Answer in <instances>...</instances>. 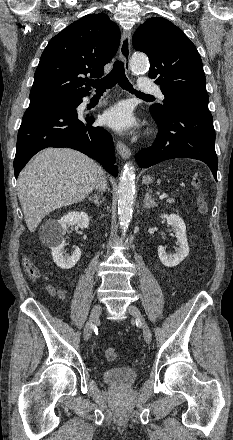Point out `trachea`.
<instances>
[{"label":"trachea","mask_w":233,"mask_h":440,"mask_svg":"<svg viewBox=\"0 0 233 440\" xmlns=\"http://www.w3.org/2000/svg\"><path fill=\"white\" fill-rule=\"evenodd\" d=\"M117 83L123 89H125L131 93H135L137 96L154 98V96H152V95L144 94V93H141L140 91H136L133 89V86L128 81V79L125 75L124 63L119 60H116L114 62L113 69L106 77H104L102 79H98V80H91L88 82V84L90 86L96 88V91H106V89L112 88Z\"/></svg>","instance_id":"obj_1"}]
</instances>
